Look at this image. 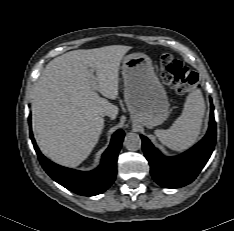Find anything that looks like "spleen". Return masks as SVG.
I'll use <instances>...</instances> for the list:
<instances>
[{"mask_svg":"<svg viewBox=\"0 0 234 231\" xmlns=\"http://www.w3.org/2000/svg\"><path fill=\"white\" fill-rule=\"evenodd\" d=\"M205 113L201 92L192 90L186 98L181 115L166 130H155L160 142L174 151H184L195 144L200 134Z\"/></svg>","mask_w":234,"mask_h":231,"instance_id":"spleen-1","label":"spleen"}]
</instances>
